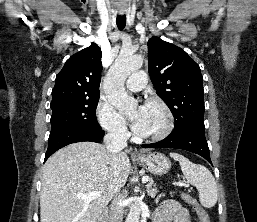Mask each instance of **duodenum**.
Wrapping results in <instances>:
<instances>
[{"label":"duodenum","instance_id":"obj_1","mask_svg":"<svg viewBox=\"0 0 257 222\" xmlns=\"http://www.w3.org/2000/svg\"><path fill=\"white\" fill-rule=\"evenodd\" d=\"M108 212L105 210L96 220L95 222H107Z\"/></svg>","mask_w":257,"mask_h":222}]
</instances>
